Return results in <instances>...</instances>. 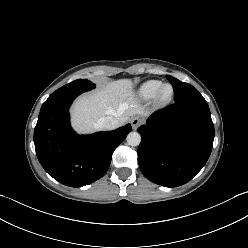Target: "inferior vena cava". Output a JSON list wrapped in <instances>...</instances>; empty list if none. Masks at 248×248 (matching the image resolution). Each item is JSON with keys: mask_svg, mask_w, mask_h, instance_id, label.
<instances>
[{"mask_svg": "<svg viewBox=\"0 0 248 248\" xmlns=\"http://www.w3.org/2000/svg\"><path fill=\"white\" fill-rule=\"evenodd\" d=\"M119 125H120L119 119L114 116L102 117L97 122V126L105 130L116 129Z\"/></svg>", "mask_w": 248, "mask_h": 248, "instance_id": "obj_1", "label": "inferior vena cava"}]
</instances>
